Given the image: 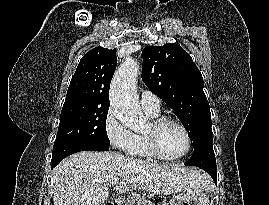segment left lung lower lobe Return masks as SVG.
Returning a JSON list of instances; mask_svg holds the SVG:
<instances>
[{"instance_id":"1","label":"left lung lower lobe","mask_w":269,"mask_h":205,"mask_svg":"<svg viewBox=\"0 0 269 205\" xmlns=\"http://www.w3.org/2000/svg\"><path fill=\"white\" fill-rule=\"evenodd\" d=\"M187 166H196L205 170L217 184V167L213 151V139L206 141L194 150L192 157L185 162Z\"/></svg>"}]
</instances>
